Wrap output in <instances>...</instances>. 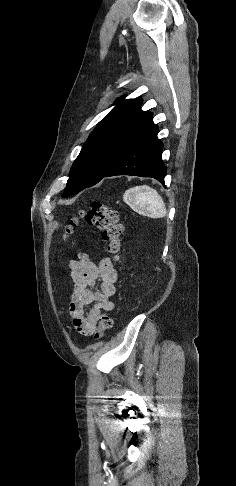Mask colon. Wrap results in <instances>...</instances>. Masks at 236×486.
Returning <instances> with one entry per match:
<instances>
[{
    "instance_id": "colon-1",
    "label": "colon",
    "mask_w": 236,
    "mask_h": 486,
    "mask_svg": "<svg viewBox=\"0 0 236 486\" xmlns=\"http://www.w3.org/2000/svg\"><path fill=\"white\" fill-rule=\"evenodd\" d=\"M79 217L85 218L88 224L95 226L100 231L102 239L107 243L108 252L112 254L114 259H118L123 234V225L120 222L119 212L100 201H92L89 208L82 211ZM77 222L78 217L71 220L65 229L66 236L72 232ZM112 326L113 320L111 316L102 314L99 317V325L95 337L97 339L102 338Z\"/></svg>"
}]
</instances>
